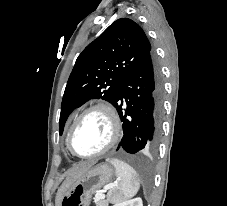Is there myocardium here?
<instances>
[{"label":"myocardium","instance_id":"obj_1","mask_svg":"<svg viewBox=\"0 0 227 206\" xmlns=\"http://www.w3.org/2000/svg\"><path fill=\"white\" fill-rule=\"evenodd\" d=\"M93 111H101L107 116V118L110 122V126H111V136H110L108 143L99 151L92 153V154H88V155H80V154H77L72 148V137H73L75 129L77 128L80 121L87 114H89ZM121 133H122L121 121H120L119 115H118L117 111L115 110V108L108 102L98 101L96 103L91 104L87 108H85L78 115V117L75 119V121L71 125V127L68 131V134H67V139H66L67 149L75 157L82 158V159L94 158V157L103 155L106 152H108L110 149H112L118 143V141L121 137Z\"/></svg>","mask_w":227,"mask_h":206}]
</instances>
